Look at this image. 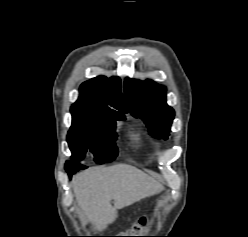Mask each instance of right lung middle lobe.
Wrapping results in <instances>:
<instances>
[{"label":"right lung middle lobe","instance_id":"dd1d6c3e","mask_svg":"<svg viewBox=\"0 0 248 237\" xmlns=\"http://www.w3.org/2000/svg\"><path fill=\"white\" fill-rule=\"evenodd\" d=\"M72 125L67 135L71 159L65 169L80 167L87 151L93 153L96 163H106L115 159L118 150L113 144L116 140V120H124V116L99 117L71 109Z\"/></svg>","mask_w":248,"mask_h":237}]
</instances>
